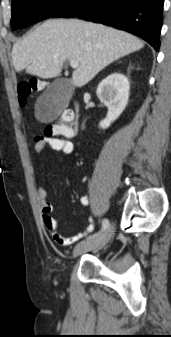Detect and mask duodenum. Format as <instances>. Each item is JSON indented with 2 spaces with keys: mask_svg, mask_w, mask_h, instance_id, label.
<instances>
[{
  "mask_svg": "<svg viewBox=\"0 0 171 337\" xmlns=\"http://www.w3.org/2000/svg\"><path fill=\"white\" fill-rule=\"evenodd\" d=\"M64 115H67V118L73 123L75 124V127H73V130L74 132H76L77 128H76V125H77V115H76V112L75 111H66L64 113Z\"/></svg>",
  "mask_w": 171,
  "mask_h": 337,
  "instance_id": "obj_1",
  "label": "duodenum"
}]
</instances>
